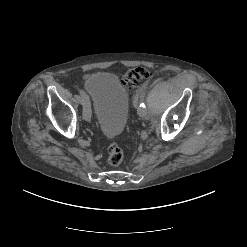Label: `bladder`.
Masks as SVG:
<instances>
[{
  "label": "bladder",
  "instance_id": "bladder-1",
  "mask_svg": "<svg viewBox=\"0 0 247 247\" xmlns=\"http://www.w3.org/2000/svg\"><path fill=\"white\" fill-rule=\"evenodd\" d=\"M85 88L100 131L106 136L121 133L128 121L130 99L119 78L108 72L93 73L87 77Z\"/></svg>",
  "mask_w": 247,
  "mask_h": 247
}]
</instances>
